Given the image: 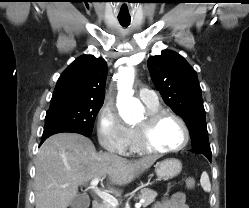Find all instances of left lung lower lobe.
Masks as SVG:
<instances>
[{
	"label": "left lung lower lobe",
	"mask_w": 249,
	"mask_h": 208,
	"mask_svg": "<svg viewBox=\"0 0 249 208\" xmlns=\"http://www.w3.org/2000/svg\"><path fill=\"white\" fill-rule=\"evenodd\" d=\"M190 151L195 152V153H201L205 155L209 161H211L212 155H211V152L209 151L198 150V149H191Z\"/></svg>",
	"instance_id": "left-lung-lower-lobe-1"
}]
</instances>
